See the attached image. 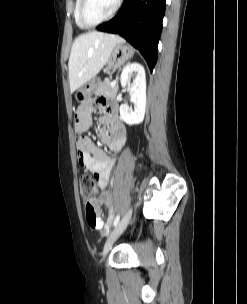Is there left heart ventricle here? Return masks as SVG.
<instances>
[{
	"mask_svg": "<svg viewBox=\"0 0 247 304\" xmlns=\"http://www.w3.org/2000/svg\"><path fill=\"white\" fill-rule=\"evenodd\" d=\"M118 0H88L85 18L89 23L98 22L107 17L115 8Z\"/></svg>",
	"mask_w": 247,
	"mask_h": 304,
	"instance_id": "left-heart-ventricle-1",
	"label": "left heart ventricle"
}]
</instances>
